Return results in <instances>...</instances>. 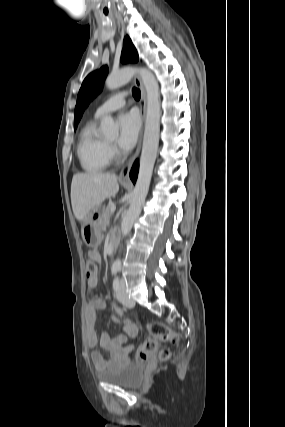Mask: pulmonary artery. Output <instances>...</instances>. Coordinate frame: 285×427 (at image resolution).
Segmentation results:
<instances>
[{
    "label": "pulmonary artery",
    "mask_w": 285,
    "mask_h": 427,
    "mask_svg": "<svg viewBox=\"0 0 285 427\" xmlns=\"http://www.w3.org/2000/svg\"><path fill=\"white\" fill-rule=\"evenodd\" d=\"M127 93L118 92L111 97H109L106 101H104L95 111V118H101L104 115L111 113L117 109L122 108L126 103Z\"/></svg>",
    "instance_id": "1"
}]
</instances>
